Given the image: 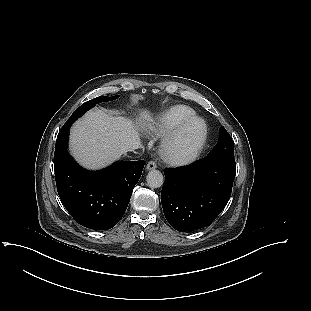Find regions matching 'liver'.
I'll use <instances>...</instances> for the list:
<instances>
[{
	"instance_id": "1",
	"label": "liver",
	"mask_w": 311,
	"mask_h": 311,
	"mask_svg": "<svg viewBox=\"0 0 311 311\" xmlns=\"http://www.w3.org/2000/svg\"><path fill=\"white\" fill-rule=\"evenodd\" d=\"M141 118L150 125L149 112H142ZM141 128L124 117H115L100 109L90 110L71 128L70 151L84 167L100 169L140 146Z\"/></svg>"
}]
</instances>
